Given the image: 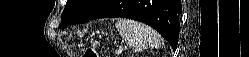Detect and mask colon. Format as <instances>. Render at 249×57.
I'll list each match as a JSON object with an SVG mask.
<instances>
[{"label": "colon", "mask_w": 249, "mask_h": 57, "mask_svg": "<svg viewBox=\"0 0 249 57\" xmlns=\"http://www.w3.org/2000/svg\"><path fill=\"white\" fill-rule=\"evenodd\" d=\"M83 57H98V54H97V52L94 49H88L84 53Z\"/></svg>", "instance_id": "1"}]
</instances>
